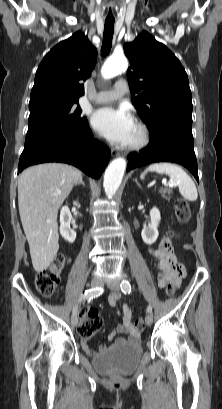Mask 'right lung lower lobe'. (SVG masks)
<instances>
[{
  "mask_svg": "<svg viewBox=\"0 0 222 409\" xmlns=\"http://www.w3.org/2000/svg\"><path fill=\"white\" fill-rule=\"evenodd\" d=\"M110 159L109 148L94 140L89 126L73 141L41 137L24 146L18 173L24 168L45 162L72 164L87 175L98 179Z\"/></svg>",
  "mask_w": 222,
  "mask_h": 409,
  "instance_id": "obj_1",
  "label": "right lung lower lobe"
}]
</instances>
